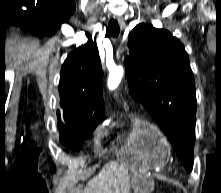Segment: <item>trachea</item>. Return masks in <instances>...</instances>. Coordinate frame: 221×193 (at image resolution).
<instances>
[{"label":"trachea","instance_id":"obj_1","mask_svg":"<svg viewBox=\"0 0 221 193\" xmlns=\"http://www.w3.org/2000/svg\"><path fill=\"white\" fill-rule=\"evenodd\" d=\"M108 32L111 36L113 37H118L119 33H120V27L119 24L117 22V20L115 19H111L109 21L108 24Z\"/></svg>","mask_w":221,"mask_h":193}]
</instances>
